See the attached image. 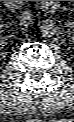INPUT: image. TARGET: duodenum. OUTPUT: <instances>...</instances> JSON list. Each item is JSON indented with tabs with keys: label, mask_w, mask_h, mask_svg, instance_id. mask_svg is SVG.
Here are the masks:
<instances>
[{
	"label": "duodenum",
	"mask_w": 74,
	"mask_h": 122,
	"mask_svg": "<svg viewBox=\"0 0 74 122\" xmlns=\"http://www.w3.org/2000/svg\"><path fill=\"white\" fill-rule=\"evenodd\" d=\"M10 5H19L21 1H6ZM57 3L56 1H40V8L44 12H52L56 9Z\"/></svg>",
	"instance_id": "410a0bca"
}]
</instances>
